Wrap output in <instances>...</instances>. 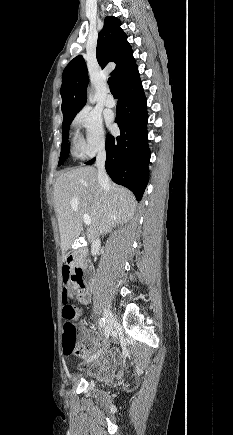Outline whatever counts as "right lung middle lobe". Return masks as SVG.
I'll list each match as a JSON object with an SVG mask.
<instances>
[{
    "label": "right lung middle lobe",
    "instance_id": "1",
    "mask_svg": "<svg viewBox=\"0 0 233 435\" xmlns=\"http://www.w3.org/2000/svg\"><path fill=\"white\" fill-rule=\"evenodd\" d=\"M75 115L63 117L62 124V146H61V154L58 166L63 165L66 159L68 158V137H69V125L74 119Z\"/></svg>",
    "mask_w": 233,
    "mask_h": 435
}]
</instances>
